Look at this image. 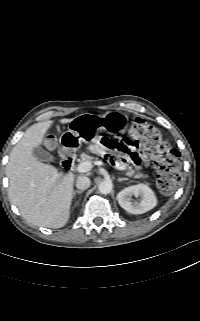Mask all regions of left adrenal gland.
Listing matches in <instances>:
<instances>
[{
    "mask_svg": "<svg viewBox=\"0 0 200 321\" xmlns=\"http://www.w3.org/2000/svg\"><path fill=\"white\" fill-rule=\"evenodd\" d=\"M126 180H128V178H118V179H117V181H119V182H120V181H126Z\"/></svg>",
    "mask_w": 200,
    "mask_h": 321,
    "instance_id": "1",
    "label": "left adrenal gland"
}]
</instances>
